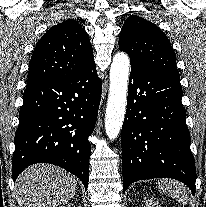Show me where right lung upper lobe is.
Here are the masks:
<instances>
[{
    "label": "right lung upper lobe",
    "instance_id": "obj_1",
    "mask_svg": "<svg viewBox=\"0 0 206 207\" xmlns=\"http://www.w3.org/2000/svg\"><path fill=\"white\" fill-rule=\"evenodd\" d=\"M94 64L86 31L68 19L50 28L36 44L29 62L28 86L70 78Z\"/></svg>",
    "mask_w": 206,
    "mask_h": 207
}]
</instances>
